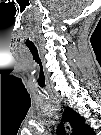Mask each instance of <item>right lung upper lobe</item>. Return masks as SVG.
I'll use <instances>...</instances> for the list:
<instances>
[{"label": "right lung upper lobe", "mask_w": 101, "mask_h": 135, "mask_svg": "<svg viewBox=\"0 0 101 135\" xmlns=\"http://www.w3.org/2000/svg\"><path fill=\"white\" fill-rule=\"evenodd\" d=\"M63 119L65 121H68L72 128H73V134L75 135H93L94 132L92 129L85 125V119L81 117L76 111H74L72 108H66L64 111ZM58 132L62 133V125L59 127Z\"/></svg>", "instance_id": "cb5924a9"}]
</instances>
